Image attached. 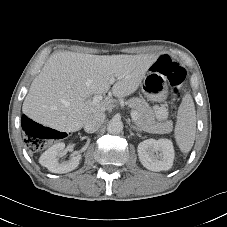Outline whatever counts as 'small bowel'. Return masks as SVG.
Wrapping results in <instances>:
<instances>
[{"mask_svg":"<svg viewBox=\"0 0 227 227\" xmlns=\"http://www.w3.org/2000/svg\"><path fill=\"white\" fill-rule=\"evenodd\" d=\"M172 108V103L170 101H158L156 103L155 114L156 117L160 120H163L167 116V110Z\"/></svg>","mask_w":227,"mask_h":227,"instance_id":"small-bowel-1","label":"small bowel"}]
</instances>
